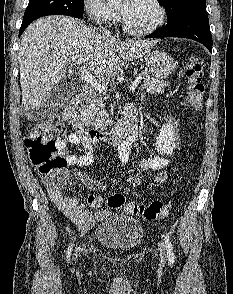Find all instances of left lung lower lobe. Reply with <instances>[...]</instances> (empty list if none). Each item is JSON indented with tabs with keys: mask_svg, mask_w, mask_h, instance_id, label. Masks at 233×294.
Listing matches in <instances>:
<instances>
[{
	"mask_svg": "<svg viewBox=\"0 0 233 294\" xmlns=\"http://www.w3.org/2000/svg\"><path fill=\"white\" fill-rule=\"evenodd\" d=\"M181 37L196 40L212 52V36L206 12L188 11L172 20L161 30H156L146 38Z\"/></svg>",
	"mask_w": 233,
	"mask_h": 294,
	"instance_id": "obj_1",
	"label": "left lung lower lobe"
}]
</instances>
